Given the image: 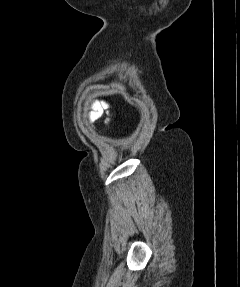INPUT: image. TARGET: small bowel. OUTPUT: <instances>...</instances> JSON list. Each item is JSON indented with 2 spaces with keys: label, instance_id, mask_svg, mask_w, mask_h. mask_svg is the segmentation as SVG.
I'll return each instance as SVG.
<instances>
[{
  "label": "small bowel",
  "instance_id": "c3829d8e",
  "mask_svg": "<svg viewBox=\"0 0 240 287\" xmlns=\"http://www.w3.org/2000/svg\"><path fill=\"white\" fill-rule=\"evenodd\" d=\"M91 112L87 115V118L90 122H95L102 116V108L99 103L95 101L90 102Z\"/></svg>",
  "mask_w": 240,
  "mask_h": 287
}]
</instances>
